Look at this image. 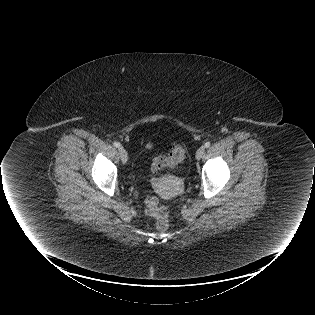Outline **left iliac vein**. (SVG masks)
<instances>
[{"label":"left iliac vein","mask_w":315,"mask_h":315,"mask_svg":"<svg viewBox=\"0 0 315 315\" xmlns=\"http://www.w3.org/2000/svg\"><path fill=\"white\" fill-rule=\"evenodd\" d=\"M204 153H205V147L202 146L196 151V159L200 160L203 157Z\"/></svg>","instance_id":"obj_1"}]
</instances>
